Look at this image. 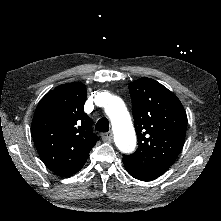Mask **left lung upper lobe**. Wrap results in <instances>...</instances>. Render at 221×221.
I'll use <instances>...</instances> for the list:
<instances>
[{"label": "left lung upper lobe", "mask_w": 221, "mask_h": 221, "mask_svg": "<svg viewBox=\"0 0 221 221\" xmlns=\"http://www.w3.org/2000/svg\"><path fill=\"white\" fill-rule=\"evenodd\" d=\"M129 91L139 147L124 155L123 161L156 179L168 170L184 145L186 112L180 100L153 79L140 78L129 84Z\"/></svg>", "instance_id": "5c2ea615"}]
</instances>
